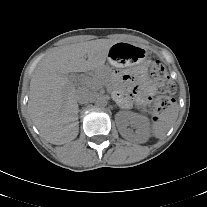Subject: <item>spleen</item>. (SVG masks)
<instances>
[{"mask_svg": "<svg viewBox=\"0 0 207 207\" xmlns=\"http://www.w3.org/2000/svg\"><path fill=\"white\" fill-rule=\"evenodd\" d=\"M178 117L177 104L168 106L151 126V134L155 138H162L173 126Z\"/></svg>", "mask_w": 207, "mask_h": 207, "instance_id": "obj_1", "label": "spleen"}]
</instances>
